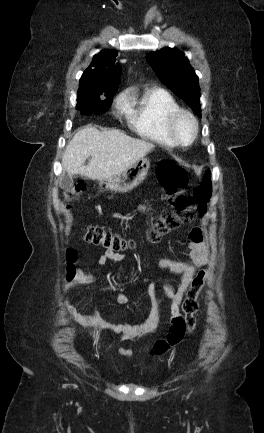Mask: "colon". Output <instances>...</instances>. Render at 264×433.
Wrapping results in <instances>:
<instances>
[{
	"label": "colon",
	"instance_id": "1",
	"mask_svg": "<svg viewBox=\"0 0 264 433\" xmlns=\"http://www.w3.org/2000/svg\"><path fill=\"white\" fill-rule=\"evenodd\" d=\"M158 181L163 186L172 210L161 212L152 218L151 225L146 232V241L150 243L157 242L169 231L191 222L197 212L205 213L212 193V182L208 171L205 172L198 182L193 193L184 192L183 188L189 181L188 173L174 161H164L159 165ZM83 190L84 184L79 182L76 186L66 191V200L70 202L78 198ZM84 239L90 244L114 253H119L133 247L131 240L97 226L87 227L84 232ZM67 257L69 263H72L75 259V252L69 250ZM71 272L72 265H69V273ZM207 275V269L200 270L186 291L182 309L188 332L194 330L196 323L195 313L198 309V296L205 285Z\"/></svg>",
	"mask_w": 264,
	"mask_h": 433
}]
</instances>
